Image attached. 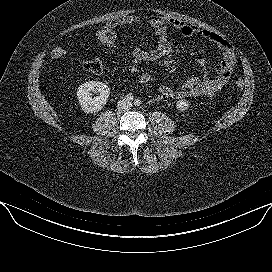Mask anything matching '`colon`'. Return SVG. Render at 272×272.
I'll list each match as a JSON object with an SVG mask.
<instances>
[{"label":"colon","mask_w":272,"mask_h":272,"mask_svg":"<svg viewBox=\"0 0 272 272\" xmlns=\"http://www.w3.org/2000/svg\"><path fill=\"white\" fill-rule=\"evenodd\" d=\"M95 40L102 46L115 48L120 46L119 39L117 35L112 34L111 32H108L104 29L98 30L94 35ZM66 54V51L62 47H55L51 51V57L53 59H60L64 57ZM82 68L84 71L91 73V74H99L103 70L102 62L99 60H89L83 63ZM156 79V74L151 71H145L142 73H139L135 77V82L139 84H149L153 82ZM235 86L238 89H242L244 87V82L241 79H237L235 81Z\"/></svg>","instance_id":"1"}]
</instances>
